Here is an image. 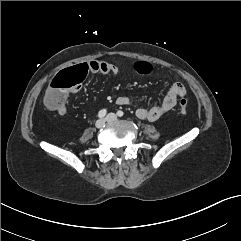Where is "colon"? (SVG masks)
<instances>
[{"mask_svg": "<svg viewBox=\"0 0 241 241\" xmlns=\"http://www.w3.org/2000/svg\"><path fill=\"white\" fill-rule=\"evenodd\" d=\"M135 70L139 73H148L151 68L149 65L139 62L135 64ZM91 69L87 63H75L71 68L61 70L51 80L45 95V103L52 107L63 102L64 94L80 85L84 78L90 75ZM179 111L186 114L188 111L187 100L182 96L179 102Z\"/></svg>", "mask_w": 241, "mask_h": 241, "instance_id": "1", "label": "colon"}]
</instances>
